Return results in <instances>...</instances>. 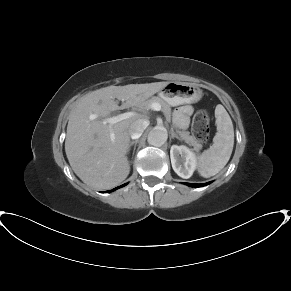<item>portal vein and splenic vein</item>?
<instances>
[{
	"label": "portal vein and splenic vein",
	"instance_id": "obj_1",
	"mask_svg": "<svg viewBox=\"0 0 291 291\" xmlns=\"http://www.w3.org/2000/svg\"><path fill=\"white\" fill-rule=\"evenodd\" d=\"M151 109H153L154 111H160L161 110V105L159 103H153V104H151ZM133 116H135L134 112H126V113L119 114L117 116L106 118L104 120V123L105 124H109L110 126H112V125H114V124H116L118 122H121V121H123L125 119L131 118ZM110 137H111V140L114 141V139H115L114 133H111Z\"/></svg>",
	"mask_w": 291,
	"mask_h": 291
}]
</instances>
